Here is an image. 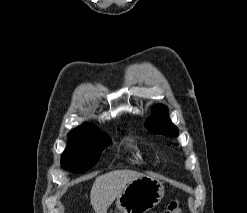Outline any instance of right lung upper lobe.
I'll list each match as a JSON object with an SVG mask.
<instances>
[{"label": "right lung upper lobe", "mask_w": 247, "mask_h": 213, "mask_svg": "<svg viewBox=\"0 0 247 213\" xmlns=\"http://www.w3.org/2000/svg\"><path fill=\"white\" fill-rule=\"evenodd\" d=\"M100 131L98 129L90 124V123H84L83 125L77 127L76 129H73L71 131L70 137H79V136H88L92 134H96Z\"/></svg>", "instance_id": "cb5924a9"}]
</instances>
